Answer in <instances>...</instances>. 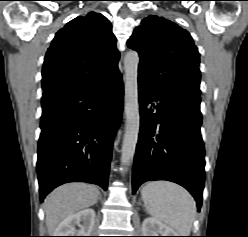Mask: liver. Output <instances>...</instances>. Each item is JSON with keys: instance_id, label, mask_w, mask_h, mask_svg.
<instances>
[{"instance_id": "1", "label": "liver", "mask_w": 248, "mask_h": 237, "mask_svg": "<svg viewBox=\"0 0 248 237\" xmlns=\"http://www.w3.org/2000/svg\"><path fill=\"white\" fill-rule=\"evenodd\" d=\"M99 195L96 186L86 183H69L56 188L44 201L48 233L55 234L65 218L94 205Z\"/></svg>"}]
</instances>
